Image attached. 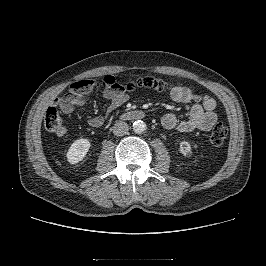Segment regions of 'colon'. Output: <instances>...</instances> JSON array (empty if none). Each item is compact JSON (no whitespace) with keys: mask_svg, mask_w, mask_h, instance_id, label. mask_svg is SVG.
<instances>
[{"mask_svg":"<svg viewBox=\"0 0 266 266\" xmlns=\"http://www.w3.org/2000/svg\"><path fill=\"white\" fill-rule=\"evenodd\" d=\"M93 87L101 89H118L121 91H133L137 87L151 88L157 91H166L170 84L160 78L146 76L121 84L113 75H107L100 79H85L75 82L71 85L70 91L74 94H83ZM44 125L47 131L60 133L63 128V121L55 107H49L45 113ZM228 130L222 123L216 124L210 135V141L214 146H220L224 143Z\"/></svg>","mask_w":266,"mask_h":266,"instance_id":"1","label":"colon"}]
</instances>
